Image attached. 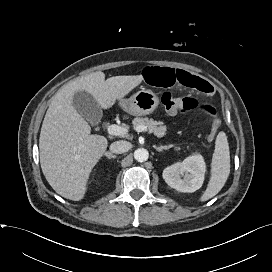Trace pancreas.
I'll list each match as a JSON object with an SVG mask.
<instances>
[{
  "mask_svg": "<svg viewBox=\"0 0 272 272\" xmlns=\"http://www.w3.org/2000/svg\"><path fill=\"white\" fill-rule=\"evenodd\" d=\"M133 127L136 129L138 126H146L149 132L154 133L157 137L166 135L167 127L161 121L145 118H135L132 122Z\"/></svg>",
  "mask_w": 272,
  "mask_h": 272,
  "instance_id": "pancreas-1",
  "label": "pancreas"
}]
</instances>
